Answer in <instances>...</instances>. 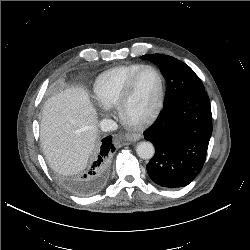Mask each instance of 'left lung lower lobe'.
Listing matches in <instances>:
<instances>
[{"mask_svg":"<svg viewBox=\"0 0 250 250\" xmlns=\"http://www.w3.org/2000/svg\"><path fill=\"white\" fill-rule=\"evenodd\" d=\"M211 134V106L205 90L164 105L144 131L156 149L147 164L152 181L167 188L188 185L204 165Z\"/></svg>","mask_w":250,"mask_h":250,"instance_id":"left-lung-lower-lobe-1","label":"left lung lower lobe"}]
</instances>
